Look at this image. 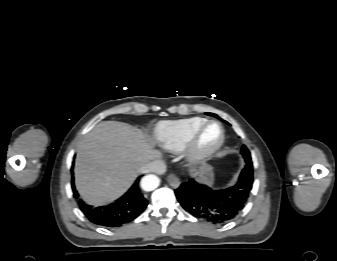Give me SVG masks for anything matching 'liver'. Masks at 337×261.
I'll list each match as a JSON object with an SVG mask.
<instances>
[{
	"label": "liver",
	"mask_w": 337,
	"mask_h": 261,
	"mask_svg": "<svg viewBox=\"0 0 337 261\" xmlns=\"http://www.w3.org/2000/svg\"><path fill=\"white\" fill-rule=\"evenodd\" d=\"M160 158L138 129L117 121L95 126L78 144L75 184L92 205L111 202L131 186L141 167Z\"/></svg>",
	"instance_id": "liver-1"
}]
</instances>
